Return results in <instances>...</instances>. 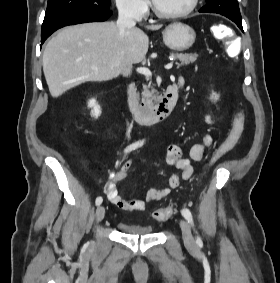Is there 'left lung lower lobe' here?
Listing matches in <instances>:
<instances>
[{"label":"left lung lower lobe","instance_id":"1","mask_svg":"<svg viewBox=\"0 0 280 283\" xmlns=\"http://www.w3.org/2000/svg\"><path fill=\"white\" fill-rule=\"evenodd\" d=\"M229 19L232 20L234 23H236L237 26L243 31L241 19H237V18H229Z\"/></svg>","mask_w":280,"mask_h":283}]
</instances>
